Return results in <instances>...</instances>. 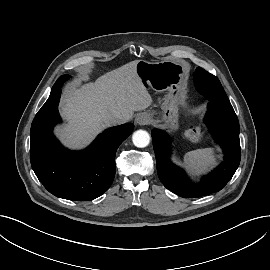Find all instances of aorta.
I'll return each mask as SVG.
<instances>
[{
  "instance_id": "762f6f07",
  "label": "aorta",
  "mask_w": 270,
  "mask_h": 270,
  "mask_svg": "<svg viewBox=\"0 0 270 270\" xmlns=\"http://www.w3.org/2000/svg\"><path fill=\"white\" fill-rule=\"evenodd\" d=\"M132 141L136 147L144 148L150 143V136L145 130H137L132 136Z\"/></svg>"
}]
</instances>
